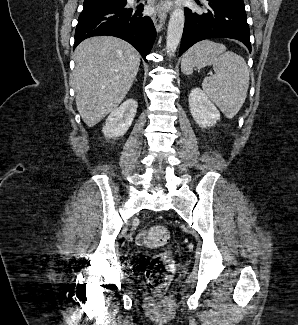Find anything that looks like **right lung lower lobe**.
Returning <instances> with one entry per match:
<instances>
[{"label":"right lung lower lobe","instance_id":"1","mask_svg":"<svg viewBox=\"0 0 298 325\" xmlns=\"http://www.w3.org/2000/svg\"><path fill=\"white\" fill-rule=\"evenodd\" d=\"M125 4L84 8L78 18L74 48L92 36L110 35L133 45L146 60L156 38V29L148 16H142L143 5L133 8Z\"/></svg>","mask_w":298,"mask_h":325}]
</instances>
